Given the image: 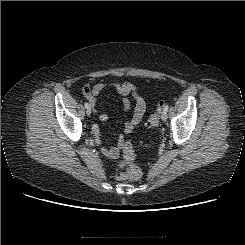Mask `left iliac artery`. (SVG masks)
<instances>
[{
  "instance_id": "1",
  "label": "left iliac artery",
  "mask_w": 245,
  "mask_h": 245,
  "mask_svg": "<svg viewBox=\"0 0 245 245\" xmlns=\"http://www.w3.org/2000/svg\"><path fill=\"white\" fill-rule=\"evenodd\" d=\"M168 109H169V105L167 104V105H165V107H164V111H168Z\"/></svg>"
}]
</instances>
